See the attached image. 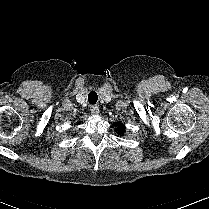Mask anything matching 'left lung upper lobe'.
<instances>
[{"label": "left lung upper lobe", "instance_id": "1", "mask_svg": "<svg viewBox=\"0 0 209 209\" xmlns=\"http://www.w3.org/2000/svg\"><path fill=\"white\" fill-rule=\"evenodd\" d=\"M115 126H117L118 129L120 130L119 134H123V131L125 130L124 125L117 123V124H115Z\"/></svg>", "mask_w": 209, "mask_h": 209}]
</instances>
